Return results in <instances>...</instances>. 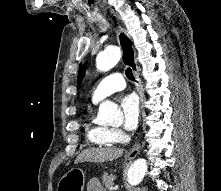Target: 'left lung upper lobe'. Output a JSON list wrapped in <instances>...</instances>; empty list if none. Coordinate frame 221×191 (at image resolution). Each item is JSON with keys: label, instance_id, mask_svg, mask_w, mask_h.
Wrapping results in <instances>:
<instances>
[{"label": "left lung upper lobe", "instance_id": "left-lung-upper-lobe-1", "mask_svg": "<svg viewBox=\"0 0 221 191\" xmlns=\"http://www.w3.org/2000/svg\"><path fill=\"white\" fill-rule=\"evenodd\" d=\"M85 67H86V64H84L82 66L81 71H80V73L78 75V87H80L81 81L83 79Z\"/></svg>", "mask_w": 221, "mask_h": 191}]
</instances>
